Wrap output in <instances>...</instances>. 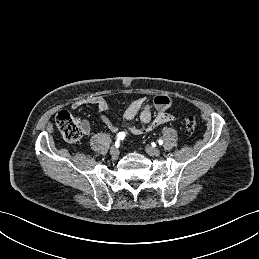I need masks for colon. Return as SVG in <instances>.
I'll return each instance as SVG.
<instances>
[{
	"mask_svg": "<svg viewBox=\"0 0 259 259\" xmlns=\"http://www.w3.org/2000/svg\"><path fill=\"white\" fill-rule=\"evenodd\" d=\"M55 123L61 136L67 142H76L83 134L79 121L67 111L59 112L56 116ZM183 126L186 133H192L196 128L195 118L192 116L186 117L183 121Z\"/></svg>",
	"mask_w": 259,
	"mask_h": 259,
	"instance_id": "obj_1",
	"label": "colon"
}]
</instances>
